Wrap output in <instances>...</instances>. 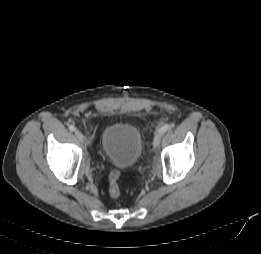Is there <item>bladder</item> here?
Returning a JSON list of instances; mask_svg holds the SVG:
<instances>
[{
	"label": "bladder",
	"mask_w": 261,
	"mask_h": 254,
	"mask_svg": "<svg viewBox=\"0 0 261 254\" xmlns=\"http://www.w3.org/2000/svg\"><path fill=\"white\" fill-rule=\"evenodd\" d=\"M100 147L103 155L121 168L133 166L143 149L139 130L128 123L108 126L102 134Z\"/></svg>",
	"instance_id": "bladder-1"
}]
</instances>
